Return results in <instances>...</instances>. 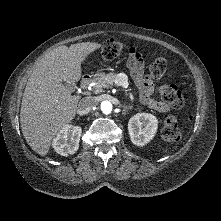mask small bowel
Here are the masks:
<instances>
[{"instance_id": "obj_1", "label": "small bowel", "mask_w": 221, "mask_h": 221, "mask_svg": "<svg viewBox=\"0 0 221 221\" xmlns=\"http://www.w3.org/2000/svg\"><path fill=\"white\" fill-rule=\"evenodd\" d=\"M127 67L130 70L131 76L138 88L141 101L153 110L158 112H168L169 106L162 101L156 100L154 84L144 78L143 68L144 59L141 53L137 52L134 48L130 50V55L127 60Z\"/></svg>"}]
</instances>
